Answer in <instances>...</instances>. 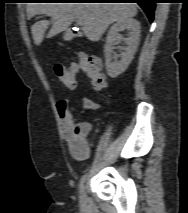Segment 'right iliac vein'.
Instances as JSON below:
<instances>
[{
    "instance_id": "63e3f726",
    "label": "right iliac vein",
    "mask_w": 188,
    "mask_h": 213,
    "mask_svg": "<svg viewBox=\"0 0 188 213\" xmlns=\"http://www.w3.org/2000/svg\"><path fill=\"white\" fill-rule=\"evenodd\" d=\"M85 197V186L82 187L81 189V194H80V198L83 200Z\"/></svg>"
}]
</instances>
